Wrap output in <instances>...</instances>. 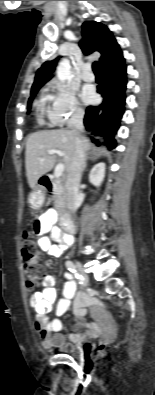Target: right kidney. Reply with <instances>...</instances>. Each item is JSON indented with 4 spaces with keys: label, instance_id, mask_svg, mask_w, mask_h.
I'll use <instances>...</instances> for the list:
<instances>
[{
    "label": "right kidney",
    "instance_id": "obj_1",
    "mask_svg": "<svg viewBox=\"0 0 155 395\" xmlns=\"http://www.w3.org/2000/svg\"><path fill=\"white\" fill-rule=\"evenodd\" d=\"M105 176V164L99 163L95 165L89 174V181L96 187H99Z\"/></svg>",
    "mask_w": 155,
    "mask_h": 395
}]
</instances>
